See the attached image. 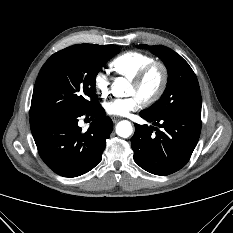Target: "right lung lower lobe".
Instances as JSON below:
<instances>
[{
    "mask_svg": "<svg viewBox=\"0 0 233 233\" xmlns=\"http://www.w3.org/2000/svg\"><path fill=\"white\" fill-rule=\"evenodd\" d=\"M82 115L94 120L86 132L78 126ZM31 132L46 165L63 177L89 172L102 159L113 129L99 102L85 113H52L30 117Z\"/></svg>",
    "mask_w": 233,
    "mask_h": 233,
    "instance_id": "98d812e1",
    "label": "right lung lower lobe"
}]
</instances>
